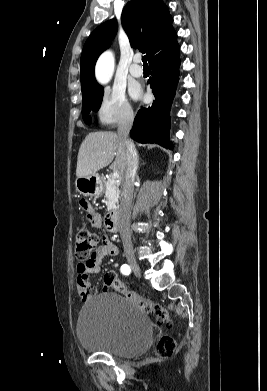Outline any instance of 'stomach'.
Returning a JSON list of instances; mask_svg holds the SVG:
<instances>
[{
  "instance_id": "0dacf381",
  "label": "stomach",
  "mask_w": 267,
  "mask_h": 391,
  "mask_svg": "<svg viewBox=\"0 0 267 391\" xmlns=\"http://www.w3.org/2000/svg\"><path fill=\"white\" fill-rule=\"evenodd\" d=\"M76 191L86 197H99L103 192L102 180L98 174L77 178Z\"/></svg>"
}]
</instances>
